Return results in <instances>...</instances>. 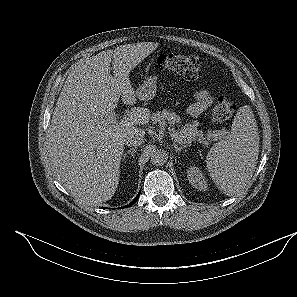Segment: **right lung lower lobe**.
<instances>
[{
	"label": "right lung lower lobe",
	"instance_id": "right-lung-lower-lobe-1",
	"mask_svg": "<svg viewBox=\"0 0 297 297\" xmlns=\"http://www.w3.org/2000/svg\"><path fill=\"white\" fill-rule=\"evenodd\" d=\"M139 195H140V193L137 195V197L129 204V205H132V204H134L137 200H138V198H139ZM129 205H126L125 207H123V208H126V207H129Z\"/></svg>",
	"mask_w": 297,
	"mask_h": 297
}]
</instances>
